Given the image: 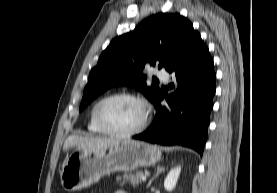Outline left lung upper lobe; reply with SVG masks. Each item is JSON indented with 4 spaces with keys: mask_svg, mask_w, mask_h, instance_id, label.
Listing matches in <instances>:
<instances>
[{
    "mask_svg": "<svg viewBox=\"0 0 277 193\" xmlns=\"http://www.w3.org/2000/svg\"><path fill=\"white\" fill-rule=\"evenodd\" d=\"M197 35L191 22L180 14L159 13L113 39L89 74L80 111L108 88L122 84L138 88L155 104L162 92L157 86H147L143 68L158 64L170 71Z\"/></svg>",
    "mask_w": 277,
    "mask_h": 193,
    "instance_id": "obj_1",
    "label": "left lung upper lobe"
}]
</instances>
